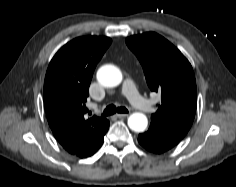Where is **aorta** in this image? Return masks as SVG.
<instances>
[{
	"label": "aorta",
	"instance_id": "obj_1",
	"mask_svg": "<svg viewBox=\"0 0 236 187\" xmlns=\"http://www.w3.org/2000/svg\"><path fill=\"white\" fill-rule=\"evenodd\" d=\"M122 79L121 71L114 65H104L97 71V80L104 87H116L122 82ZM147 125L148 120L143 113H133L128 118V126L135 132H143Z\"/></svg>",
	"mask_w": 236,
	"mask_h": 187
}]
</instances>
